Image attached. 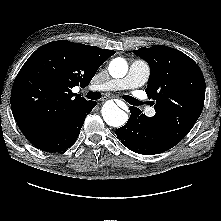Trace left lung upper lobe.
Returning a JSON list of instances; mask_svg holds the SVG:
<instances>
[{
    "label": "left lung upper lobe",
    "mask_w": 221,
    "mask_h": 221,
    "mask_svg": "<svg viewBox=\"0 0 221 221\" xmlns=\"http://www.w3.org/2000/svg\"><path fill=\"white\" fill-rule=\"evenodd\" d=\"M133 53L150 66L145 90L155 101L150 119L173 144L179 143L199 118L205 99V79L200 67L183 52L168 46L140 48Z\"/></svg>",
    "instance_id": "5c2ea615"
}]
</instances>
